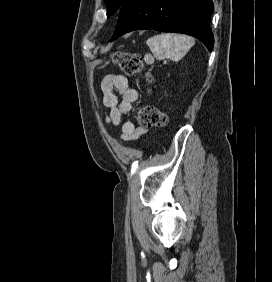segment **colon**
<instances>
[{
  "instance_id": "1",
  "label": "colon",
  "mask_w": 272,
  "mask_h": 282,
  "mask_svg": "<svg viewBox=\"0 0 272 282\" xmlns=\"http://www.w3.org/2000/svg\"><path fill=\"white\" fill-rule=\"evenodd\" d=\"M112 60L119 65L122 71L129 75L139 74L144 71L142 57L135 53H116L112 55ZM136 119L142 126L165 127L168 124L166 113L149 106L142 105L136 111Z\"/></svg>"
}]
</instances>
